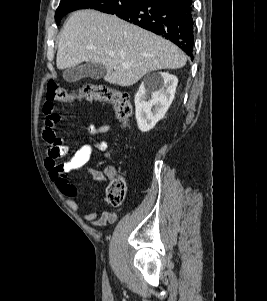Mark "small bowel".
<instances>
[{"instance_id":"small-bowel-1","label":"small bowel","mask_w":267,"mask_h":301,"mask_svg":"<svg viewBox=\"0 0 267 301\" xmlns=\"http://www.w3.org/2000/svg\"><path fill=\"white\" fill-rule=\"evenodd\" d=\"M43 113L45 120L42 135L47 144L45 167L66 204L73 212H78L79 207L75 200L79 194L78 188L69 181L67 174L71 171L84 168L89 162L93 151H105L108 148V143L104 140H91L81 146L69 160L58 162L69 150L68 146L57 136L55 131V126L62 120V116L58 112L54 101L47 99L43 105ZM110 131L111 125L108 123L99 126L89 124L87 126V133L91 136L105 135ZM86 172L96 181L103 182L106 180L105 174L97 169L87 167ZM110 172H112V170L108 169L106 175ZM83 218L93 227H103L106 224L115 222L117 220V214L111 210L102 211L100 214L97 210H92L84 214Z\"/></svg>"}]
</instances>
